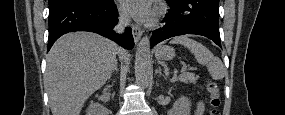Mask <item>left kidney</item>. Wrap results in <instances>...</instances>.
Masks as SVG:
<instances>
[{
	"instance_id": "left-kidney-1",
	"label": "left kidney",
	"mask_w": 285,
	"mask_h": 115,
	"mask_svg": "<svg viewBox=\"0 0 285 115\" xmlns=\"http://www.w3.org/2000/svg\"><path fill=\"white\" fill-rule=\"evenodd\" d=\"M191 110V102L189 98L181 96L169 111L168 115H189Z\"/></svg>"
}]
</instances>
